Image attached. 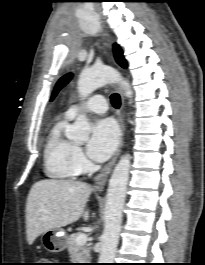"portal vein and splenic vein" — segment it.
I'll return each mask as SVG.
<instances>
[{
    "instance_id": "obj_1",
    "label": "portal vein and splenic vein",
    "mask_w": 205,
    "mask_h": 265,
    "mask_svg": "<svg viewBox=\"0 0 205 265\" xmlns=\"http://www.w3.org/2000/svg\"><path fill=\"white\" fill-rule=\"evenodd\" d=\"M88 240V236L85 233H80L76 238V243L78 245H84Z\"/></svg>"
}]
</instances>
